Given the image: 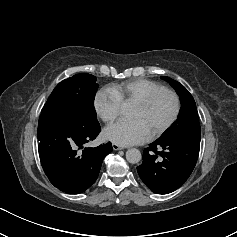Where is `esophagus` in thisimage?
<instances>
[{
	"instance_id": "obj_1",
	"label": "esophagus",
	"mask_w": 237,
	"mask_h": 237,
	"mask_svg": "<svg viewBox=\"0 0 237 237\" xmlns=\"http://www.w3.org/2000/svg\"><path fill=\"white\" fill-rule=\"evenodd\" d=\"M112 147H113L114 150H121V149H123L122 146H120L118 144H115V143L112 144Z\"/></svg>"
}]
</instances>
